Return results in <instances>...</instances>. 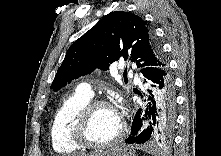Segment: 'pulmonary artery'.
I'll use <instances>...</instances> for the list:
<instances>
[{
  "instance_id": "1",
  "label": "pulmonary artery",
  "mask_w": 221,
  "mask_h": 156,
  "mask_svg": "<svg viewBox=\"0 0 221 156\" xmlns=\"http://www.w3.org/2000/svg\"><path fill=\"white\" fill-rule=\"evenodd\" d=\"M78 91L82 92L83 94L92 97L93 91L91 89V86L88 83H82L78 87Z\"/></svg>"
}]
</instances>
